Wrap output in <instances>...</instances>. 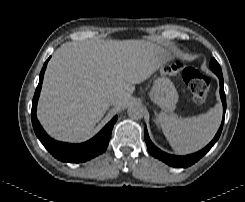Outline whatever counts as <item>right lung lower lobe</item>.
Segmentation results:
<instances>
[{"label":"right lung lower lobe","instance_id":"98d812e1","mask_svg":"<svg viewBox=\"0 0 245 202\" xmlns=\"http://www.w3.org/2000/svg\"><path fill=\"white\" fill-rule=\"evenodd\" d=\"M49 59L50 58H48V60L45 62L41 70L39 84L36 88L32 102L31 116L35 134L42 142L44 147L58 160L73 163L85 162L106 150L111 137L113 125L117 120V116L112 118V120L95 137L85 143L68 144L58 142L50 138L42 129L36 117L37 101L40 95L43 76Z\"/></svg>","mask_w":245,"mask_h":202}]
</instances>
